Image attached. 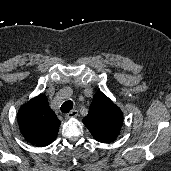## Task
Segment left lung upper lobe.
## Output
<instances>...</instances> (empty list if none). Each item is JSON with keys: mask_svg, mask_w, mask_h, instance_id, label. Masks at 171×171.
Masks as SVG:
<instances>
[{"mask_svg": "<svg viewBox=\"0 0 171 171\" xmlns=\"http://www.w3.org/2000/svg\"><path fill=\"white\" fill-rule=\"evenodd\" d=\"M83 123L97 141L110 143L120 133L123 113L105 94L98 91Z\"/></svg>", "mask_w": 171, "mask_h": 171, "instance_id": "1", "label": "left lung upper lobe"}]
</instances>
